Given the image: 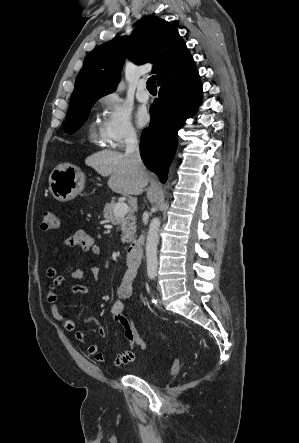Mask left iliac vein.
I'll return each instance as SVG.
<instances>
[{
	"label": "left iliac vein",
	"mask_w": 299,
	"mask_h": 443,
	"mask_svg": "<svg viewBox=\"0 0 299 443\" xmlns=\"http://www.w3.org/2000/svg\"><path fill=\"white\" fill-rule=\"evenodd\" d=\"M157 289H158L159 291H161V288H160V286H159V285H157Z\"/></svg>",
	"instance_id": "4c4485c4"
}]
</instances>
